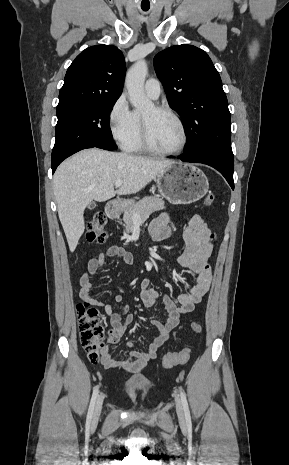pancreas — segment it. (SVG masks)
Returning <instances> with one entry per match:
<instances>
[{
	"mask_svg": "<svg viewBox=\"0 0 289 465\" xmlns=\"http://www.w3.org/2000/svg\"><path fill=\"white\" fill-rule=\"evenodd\" d=\"M165 209L164 201L159 196L144 197L142 200L126 208L123 216L126 232L129 233L135 223L144 222L153 212ZM135 216L138 219H135Z\"/></svg>",
	"mask_w": 289,
	"mask_h": 465,
	"instance_id": "pancreas-1",
	"label": "pancreas"
}]
</instances>
